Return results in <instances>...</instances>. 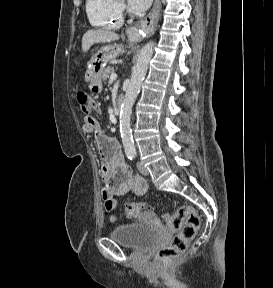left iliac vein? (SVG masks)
<instances>
[{
	"label": "left iliac vein",
	"instance_id": "1",
	"mask_svg": "<svg viewBox=\"0 0 273 288\" xmlns=\"http://www.w3.org/2000/svg\"><path fill=\"white\" fill-rule=\"evenodd\" d=\"M137 167L141 174H143L144 176L149 175L148 169L143 165L142 162H138Z\"/></svg>",
	"mask_w": 273,
	"mask_h": 288
}]
</instances>
